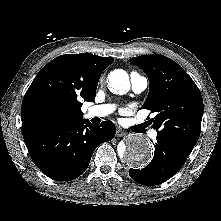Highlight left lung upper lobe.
<instances>
[{
	"label": "left lung upper lobe",
	"mask_w": 221,
	"mask_h": 221,
	"mask_svg": "<svg viewBox=\"0 0 221 221\" xmlns=\"http://www.w3.org/2000/svg\"><path fill=\"white\" fill-rule=\"evenodd\" d=\"M129 61L148 76L149 94L143 109L157 114L151 119L157 135L195 146L200 135L203 99L192 78L163 55H143Z\"/></svg>",
	"instance_id": "1"
}]
</instances>
